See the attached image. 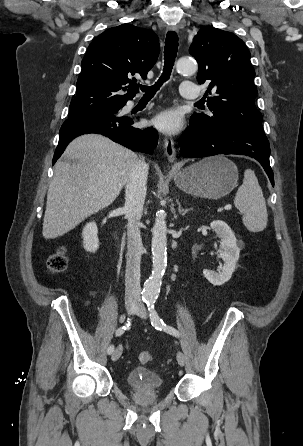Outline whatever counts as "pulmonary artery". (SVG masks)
<instances>
[{
	"mask_svg": "<svg viewBox=\"0 0 303 446\" xmlns=\"http://www.w3.org/2000/svg\"><path fill=\"white\" fill-rule=\"evenodd\" d=\"M181 94L187 100H197L200 97V90L196 84L185 81L181 84Z\"/></svg>",
	"mask_w": 303,
	"mask_h": 446,
	"instance_id": "1",
	"label": "pulmonary artery"
}]
</instances>
